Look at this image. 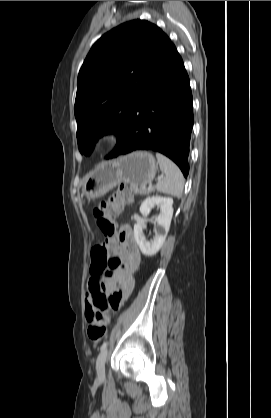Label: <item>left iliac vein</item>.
I'll return each instance as SVG.
<instances>
[{"mask_svg": "<svg viewBox=\"0 0 271 418\" xmlns=\"http://www.w3.org/2000/svg\"><path fill=\"white\" fill-rule=\"evenodd\" d=\"M108 351L107 349L101 350L96 361V371L98 379H104L105 377V363L107 360Z\"/></svg>", "mask_w": 271, "mask_h": 418, "instance_id": "left-iliac-vein-1", "label": "left iliac vein"}]
</instances>
